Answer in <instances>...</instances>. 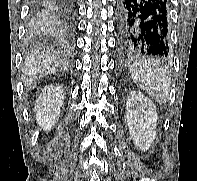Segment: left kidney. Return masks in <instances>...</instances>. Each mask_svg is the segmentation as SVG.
Returning a JSON list of instances; mask_svg holds the SVG:
<instances>
[{
	"label": "left kidney",
	"mask_w": 197,
	"mask_h": 181,
	"mask_svg": "<svg viewBox=\"0 0 197 181\" xmlns=\"http://www.w3.org/2000/svg\"><path fill=\"white\" fill-rule=\"evenodd\" d=\"M158 116L154 103L141 92L132 90L126 103V121L135 146L146 151L156 138Z\"/></svg>",
	"instance_id": "left-kidney-1"
}]
</instances>
